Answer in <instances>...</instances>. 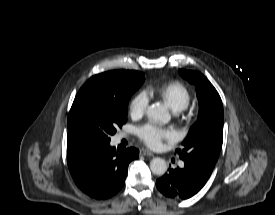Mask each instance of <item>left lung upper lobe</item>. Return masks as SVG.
Wrapping results in <instances>:
<instances>
[{
    "mask_svg": "<svg viewBox=\"0 0 275 215\" xmlns=\"http://www.w3.org/2000/svg\"><path fill=\"white\" fill-rule=\"evenodd\" d=\"M179 74L195 85L199 101V116L183 141V148L177 149L176 152L185 163L212 172L223 141L221 98L213 85L200 72L180 69Z\"/></svg>",
    "mask_w": 275,
    "mask_h": 215,
    "instance_id": "1",
    "label": "left lung upper lobe"
}]
</instances>
